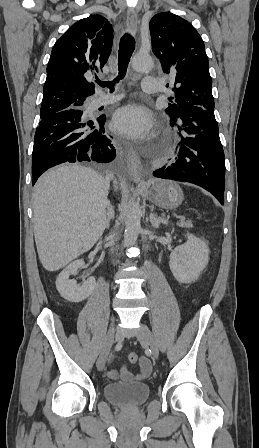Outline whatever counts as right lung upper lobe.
I'll return each instance as SVG.
<instances>
[{
	"label": "right lung upper lobe",
	"instance_id": "right-lung-upper-lobe-1",
	"mask_svg": "<svg viewBox=\"0 0 259 448\" xmlns=\"http://www.w3.org/2000/svg\"><path fill=\"white\" fill-rule=\"evenodd\" d=\"M113 28L101 15L74 23L55 43L47 65L41 115L84 105L94 94V77L111 53Z\"/></svg>",
	"mask_w": 259,
	"mask_h": 448
}]
</instances>
